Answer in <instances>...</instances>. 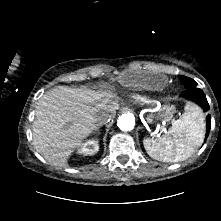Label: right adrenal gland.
<instances>
[{"mask_svg": "<svg viewBox=\"0 0 221 221\" xmlns=\"http://www.w3.org/2000/svg\"><path fill=\"white\" fill-rule=\"evenodd\" d=\"M99 128H100V127H97V128L95 129L94 133H97V134L99 135V134H100Z\"/></svg>", "mask_w": 221, "mask_h": 221, "instance_id": "obj_1", "label": "right adrenal gland"}]
</instances>
